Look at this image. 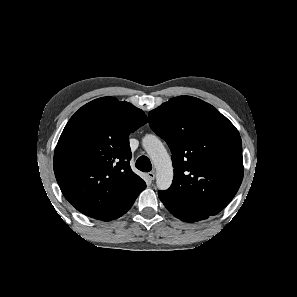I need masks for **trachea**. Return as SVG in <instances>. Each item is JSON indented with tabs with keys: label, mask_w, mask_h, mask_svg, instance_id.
<instances>
[{
	"label": "trachea",
	"mask_w": 297,
	"mask_h": 297,
	"mask_svg": "<svg viewBox=\"0 0 297 297\" xmlns=\"http://www.w3.org/2000/svg\"><path fill=\"white\" fill-rule=\"evenodd\" d=\"M135 166L142 172H150L152 170V164L149 158L146 156L139 157L136 161Z\"/></svg>",
	"instance_id": "obj_1"
}]
</instances>
